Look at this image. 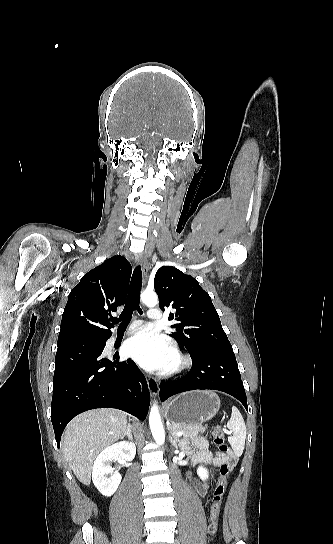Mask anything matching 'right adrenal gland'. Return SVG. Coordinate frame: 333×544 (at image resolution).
I'll list each match as a JSON object with an SVG mask.
<instances>
[{"label": "right adrenal gland", "instance_id": "right-adrenal-gland-1", "mask_svg": "<svg viewBox=\"0 0 333 544\" xmlns=\"http://www.w3.org/2000/svg\"><path fill=\"white\" fill-rule=\"evenodd\" d=\"M127 436L129 440H132L133 439V435H132V427L131 425H127V429L124 433V437Z\"/></svg>", "mask_w": 333, "mask_h": 544}]
</instances>
